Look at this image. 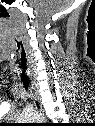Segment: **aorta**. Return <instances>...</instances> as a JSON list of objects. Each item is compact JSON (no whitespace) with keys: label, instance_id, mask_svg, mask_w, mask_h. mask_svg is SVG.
<instances>
[{"label":"aorta","instance_id":"1","mask_svg":"<svg viewBox=\"0 0 95 126\" xmlns=\"http://www.w3.org/2000/svg\"><path fill=\"white\" fill-rule=\"evenodd\" d=\"M30 120H33V121H41L42 120V118L39 116V115H33L31 118H30Z\"/></svg>","mask_w":95,"mask_h":126}]
</instances>
